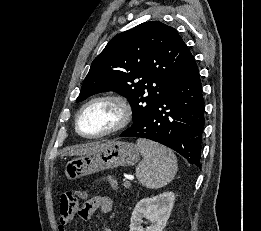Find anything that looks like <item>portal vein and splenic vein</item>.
<instances>
[{
	"mask_svg": "<svg viewBox=\"0 0 261 231\" xmlns=\"http://www.w3.org/2000/svg\"><path fill=\"white\" fill-rule=\"evenodd\" d=\"M125 184H128V185H130V182H129V181H126V182H125Z\"/></svg>",
	"mask_w": 261,
	"mask_h": 231,
	"instance_id": "18ae733b",
	"label": "portal vein and splenic vein"
}]
</instances>
